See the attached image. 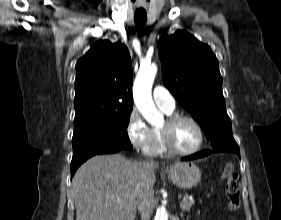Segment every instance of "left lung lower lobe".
Instances as JSON below:
<instances>
[{
    "instance_id": "left-lung-lower-lobe-1",
    "label": "left lung lower lobe",
    "mask_w": 281,
    "mask_h": 220,
    "mask_svg": "<svg viewBox=\"0 0 281 220\" xmlns=\"http://www.w3.org/2000/svg\"><path fill=\"white\" fill-rule=\"evenodd\" d=\"M213 152H218V151H215V150H204L200 153H196V154H193L191 156H187V157H184L182 158V160L184 161H189V160H193V159H198V158H202V157H205ZM231 152L237 154L239 157H240V152H239V148H236V149H233Z\"/></svg>"
}]
</instances>
